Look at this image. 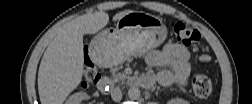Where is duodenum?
Here are the masks:
<instances>
[{"label": "duodenum", "instance_id": "obj_1", "mask_svg": "<svg viewBox=\"0 0 252 104\" xmlns=\"http://www.w3.org/2000/svg\"><path fill=\"white\" fill-rule=\"evenodd\" d=\"M134 83L143 88H150L154 83V79L150 76H141L134 79ZM112 85H113V82L111 80L101 79L98 83V89L101 92L105 93L109 91V87Z\"/></svg>", "mask_w": 252, "mask_h": 104}]
</instances>
